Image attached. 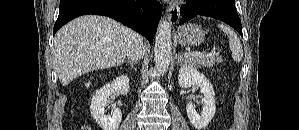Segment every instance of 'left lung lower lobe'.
Here are the masks:
<instances>
[{
    "label": "left lung lower lobe",
    "instance_id": "1",
    "mask_svg": "<svg viewBox=\"0 0 299 130\" xmlns=\"http://www.w3.org/2000/svg\"><path fill=\"white\" fill-rule=\"evenodd\" d=\"M182 18L179 24L203 15L221 20L232 26L242 37V26L235 8V0H186L181 7Z\"/></svg>",
    "mask_w": 299,
    "mask_h": 130
}]
</instances>
